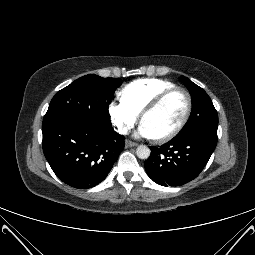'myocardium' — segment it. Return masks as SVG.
Wrapping results in <instances>:
<instances>
[{
  "mask_svg": "<svg viewBox=\"0 0 255 255\" xmlns=\"http://www.w3.org/2000/svg\"><path fill=\"white\" fill-rule=\"evenodd\" d=\"M178 91L184 93V95L186 97L187 106H186L185 113H184L181 121L179 122V124L173 130H171L170 132H168L167 134H165L163 136L155 137V140L158 142H166V141L173 139L175 136H177L182 131V129L187 124V122L190 118V115L192 112V106H193L192 96H191L190 92L186 88L180 87V86H175V87L169 88V89L163 91L162 93H160L159 95H157L141 112V122H143L144 118L148 114L153 112L155 109H157L167 97H169L171 94L178 92Z\"/></svg>",
  "mask_w": 255,
  "mask_h": 255,
  "instance_id": "f54148a6",
  "label": "myocardium"
}]
</instances>
